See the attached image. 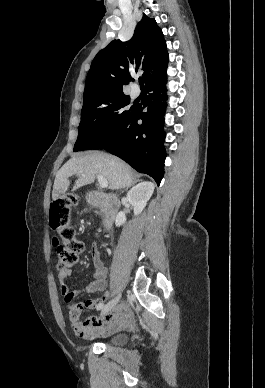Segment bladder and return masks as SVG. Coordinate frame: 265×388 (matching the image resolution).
<instances>
[{
  "mask_svg": "<svg viewBox=\"0 0 265 388\" xmlns=\"http://www.w3.org/2000/svg\"><path fill=\"white\" fill-rule=\"evenodd\" d=\"M129 340L127 333H114L107 339V347L109 346H123Z\"/></svg>",
  "mask_w": 265,
  "mask_h": 388,
  "instance_id": "1",
  "label": "bladder"
}]
</instances>
